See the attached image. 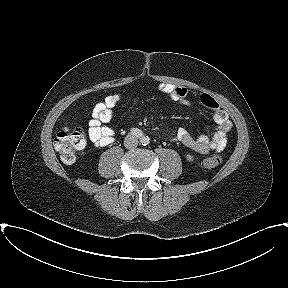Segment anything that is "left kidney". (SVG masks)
<instances>
[{"label":"left kidney","mask_w":288,"mask_h":288,"mask_svg":"<svg viewBox=\"0 0 288 288\" xmlns=\"http://www.w3.org/2000/svg\"><path fill=\"white\" fill-rule=\"evenodd\" d=\"M186 158H187V160H189V161H193V160H194L193 156L190 155V154H187V155H186Z\"/></svg>","instance_id":"1"}]
</instances>
